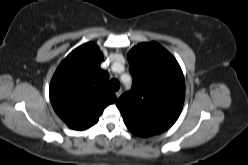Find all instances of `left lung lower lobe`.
<instances>
[{
	"label": "left lung lower lobe",
	"mask_w": 248,
	"mask_h": 165,
	"mask_svg": "<svg viewBox=\"0 0 248 165\" xmlns=\"http://www.w3.org/2000/svg\"><path fill=\"white\" fill-rule=\"evenodd\" d=\"M129 128V130L131 132H133L134 134L138 135V136H141V137H148V136H151V135H154V134H149V133H146V132H143L141 130H137L135 128H132L130 126H127Z\"/></svg>",
	"instance_id": "0a47b994"
}]
</instances>
